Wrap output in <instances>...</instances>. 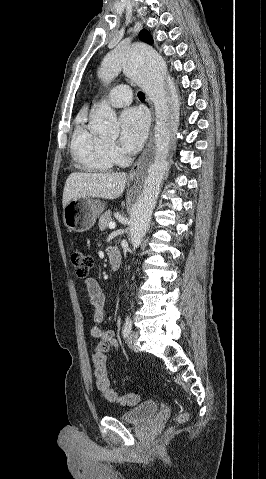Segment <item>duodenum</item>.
Returning <instances> with one entry per match:
<instances>
[{
	"label": "duodenum",
	"instance_id": "duodenum-1",
	"mask_svg": "<svg viewBox=\"0 0 266 479\" xmlns=\"http://www.w3.org/2000/svg\"><path fill=\"white\" fill-rule=\"evenodd\" d=\"M109 263L113 271H118L121 263V254L117 246L110 247L108 251Z\"/></svg>",
	"mask_w": 266,
	"mask_h": 479
}]
</instances>
